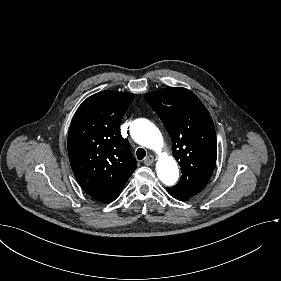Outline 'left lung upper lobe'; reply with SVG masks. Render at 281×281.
I'll list each match as a JSON object with an SVG mask.
<instances>
[{
    "label": "left lung upper lobe",
    "instance_id": "1",
    "mask_svg": "<svg viewBox=\"0 0 281 281\" xmlns=\"http://www.w3.org/2000/svg\"><path fill=\"white\" fill-rule=\"evenodd\" d=\"M172 139V153L181 166L179 183L172 187L189 197L209 181L216 164L217 142L212 118L191 91L165 88L145 94Z\"/></svg>",
    "mask_w": 281,
    "mask_h": 281
}]
</instances>
